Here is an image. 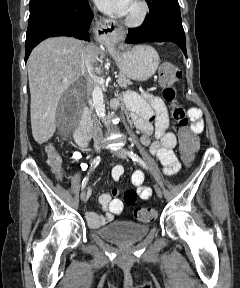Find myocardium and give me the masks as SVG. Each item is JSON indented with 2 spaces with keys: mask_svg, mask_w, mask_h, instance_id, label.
I'll use <instances>...</instances> for the list:
<instances>
[{
  "mask_svg": "<svg viewBox=\"0 0 240 288\" xmlns=\"http://www.w3.org/2000/svg\"><path fill=\"white\" fill-rule=\"evenodd\" d=\"M137 4L139 11L136 15H127L124 19V23L126 26L131 28H137L142 26L150 13V6L147 0H134Z\"/></svg>",
  "mask_w": 240,
  "mask_h": 288,
  "instance_id": "1",
  "label": "myocardium"
}]
</instances>
